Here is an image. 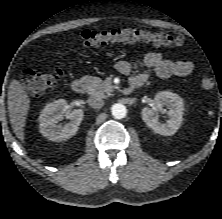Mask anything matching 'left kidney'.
Segmentation results:
<instances>
[{
    "label": "left kidney",
    "instance_id": "obj_1",
    "mask_svg": "<svg viewBox=\"0 0 222 219\" xmlns=\"http://www.w3.org/2000/svg\"><path fill=\"white\" fill-rule=\"evenodd\" d=\"M166 106L168 108V119L162 123L155 116L157 110ZM184 103L183 99L176 93L161 91L155 95L152 107H144L141 112L142 120L155 133L164 136H172L180 128L183 121Z\"/></svg>",
    "mask_w": 222,
    "mask_h": 219
}]
</instances>
